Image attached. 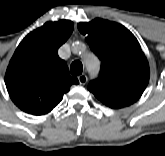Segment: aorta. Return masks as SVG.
I'll return each instance as SVG.
<instances>
[{
	"instance_id": "obj_1",
	"label": "aorta",
	"mask_w": 165,
	"mask_h": 156,
	"mask_svg": "<svg viewBox=\"0 0 165 156\" xmlns=\"http://www.w3.org/2000/svg\"><path fill=\"white\" fill-rule=\"evenodd\" d=\"M72 49L76 53H81L83 49V45L81 43H74ZM85 64L89 69L97 70L99 68L98 60L90 54L84 56Z\"/></svg>"
}]
</instances>
